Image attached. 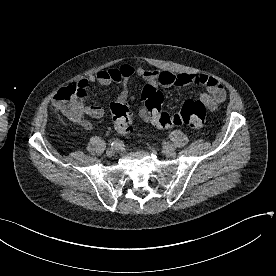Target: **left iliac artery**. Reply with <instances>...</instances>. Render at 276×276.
<instances>
[{"label": "left iliac artery", "mask_w": 276, "mask_h": 276, "mask_svg": "<svg viewBox=\"0 0 276 276\" xmlns=\"http://www.w3.org/2000/svg\"><path fill=\"white\" fill-rule=\"evenodd\" d=\"M164 148H165V149L173 148V144L170 143V142H166V143H164Z\"/></svg>", "instance_id": "1"}]
</instances>
